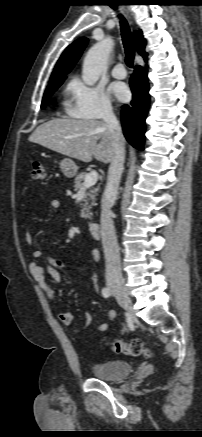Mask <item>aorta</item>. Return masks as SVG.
Returning a JSON list of instances; mask_svg holds the SVG:
<instances>
[{
	"instance_id": "762f6f07",
	"label": "aorta",
	"mask_w": 202,
	"mask_h": 437,
	"mask_svg": "<svg viewBox=\"0 0 202 437\" xmlns=\"http://www.w3.org/2000/svg\"><path fill=\"white\" fill-rule=\"evenodd\" d=\"M113 48V41L106 38L89 49L83 62L82 79L93 86L107 68V61Z\"/></svg>"
}]
</instances>
